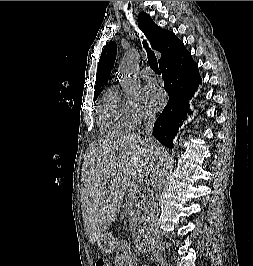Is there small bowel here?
Here are the masks:
<instances>
[{
  "label": "small bowel",
  "instance_id": "small-bowel-1",
  "mask_svg": "<svg viewBox=\"0 0 253 266\" xmlns=\"http://www.w3.org/2000/svg\"><path fill=\"white\" fill-rule=\"evenodd\" d=\"M125 261L127 262L126 264H128L130 266H135V263L133 261H130V260H125ZM119 264H121V263H119ZM143 266H149V265H143Z\"/></svg>",
  "mask_w": 253,
  "mask_h": 266
}]
</instances>
